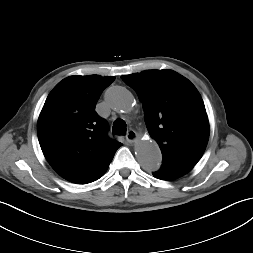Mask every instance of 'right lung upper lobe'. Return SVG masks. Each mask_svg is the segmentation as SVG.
I'll return each instance as SVG.
<instances>
[{
  "label": "right lung upper lobe",
  "mask_w": 253,
  "mask_h": 253,
  "mask_svg": "<svg viewBox=\"0 0 253 253\" xmlns=\"http://www.w3.org/2000/svg\"><path fill=\"white\" fill-rule=\"evenodd\" d=\"M115 77L70 76L48 95L37 123L43 154L66 180L87 184L107 170L121 143L107 136V122L95 105Z\"/></svg>",
  "instance_id": "obj_1"
}]
</instances>
